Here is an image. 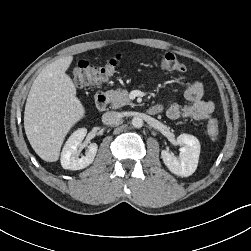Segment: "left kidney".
<instances>
[{
    "label": "left kidney",
    "instance_id": "1",
    "mask_svg": "<svg viewBox=\"0 0 251 251\" xmlns=\"http://www.w3.org/2000/svg\"><path fill=\"white\" fill-rule=\"evenodd\" d=\"M177 143L182 145L179 158L166 150H162L161 158L170 172L177 176L188 177L197 168L200 142L195 136L183 133L177 137Z\"/></svg>",
    "mask_w": 251,
    "mask_h": 251
}]
</instances>
